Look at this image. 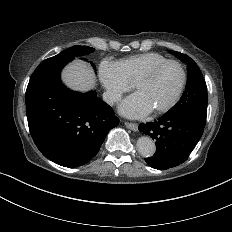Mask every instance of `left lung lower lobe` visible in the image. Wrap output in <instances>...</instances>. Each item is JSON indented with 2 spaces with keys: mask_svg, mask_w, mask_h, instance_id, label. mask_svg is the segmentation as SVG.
<instances>
[{
  "mask_svg": "<svg viewBox=\"0 0 232 232\" xmlns=\"http://www.w3.org/2000/svg\"><path fill=\"white\" fill-rule=\"evenodd\" d=\"M204 127L186 115L168 113L154 122L141 123L139 130L156 140L155 154L145 161L159 170L182 164L200 140Z\"/></svg>",
  "mask_w": 232,
  "mask_h": 232,
  "instance_id": "0a47b994",
  "label": "left lung lower lobe"
}]
</instances>
